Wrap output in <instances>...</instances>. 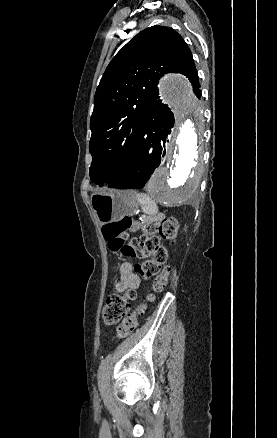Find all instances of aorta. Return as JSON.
Returning a JSON list of instances; mask_svg holds the SVG:
<instances>
[{"mask_svg":"<svg viewBox=\"0 0 277 438\" xmlns=\"http://www.w3.org/2000/svg\"><path fill=\"white\" fill-rule=\"evenodd\" d=\"M162 96L175 111L176 126L168 144L166 164L154 172L148 190L160 203L173 206L190 199L199 187L203 117L183 76L167 77Z\"/></svg>","mask_w":277,"mask_h":438,"instance_id":"aorta-1","label":"aorta"}]
</instances>
